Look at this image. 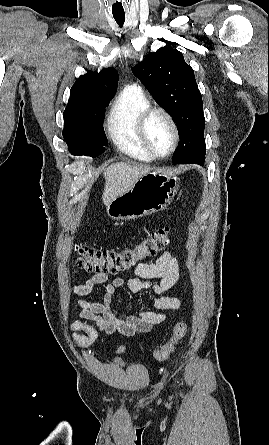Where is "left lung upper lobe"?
Listing matches in <instances>:
<instances>
[{
    "label": "left lung upper lobe",
    "instance_id": "obj_1",
    "mask_svg": "<svg viewBox=\"0 0 269 445\" xmlns=\"http://www.w3.org/2000/svg\"><path fill=\"white\" fill-rule=\"evenodd\" d=\"M132 72L177 125L180 142L172 162L202 165L206 154L202 96L182 53L162 47L132 67Z\"/></svg>",
    "mask_w": 269,
    "mask_h": 445
}]
</instances>
